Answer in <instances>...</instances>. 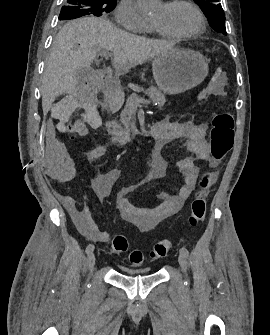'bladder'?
I'll return each mask as SVG.
<instances>
[{
  "label": "bladder",
  "mask_w": 270,
  "mask_h": 335,
  "mask_svg": "<svg viewBox=\"0 0 270 335\" xmlns=\"http://www.w3.org/2000/svg\"><path fill=\"white\" fill-rule=\"evenodd\" d=\"M128 274H140V275H147L152 273V269L142 270V271H126Z\"/></svg>",
  "instance_id": "31cf9c89"
}]
</instances>
